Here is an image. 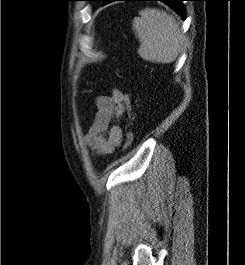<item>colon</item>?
Wrapping results in <instances>:
<instances>
[{"instance_id":"5ec220e1","label":"colon","mask_w":245,"mask_h":265,"mask_svg":"<svg viewBox=\"0 0 245 265\" xmlns=\"http://www.w3.org/2000/svg\"><path fill=\"white\" fill-rule=\"evenodd\" d=\"M123 102L127 106V108L131 111L132 99L128 93H124ZM134 140V135L131 131L126 130L124 135V149H128Z\"/></svg>"}]
</instances>
